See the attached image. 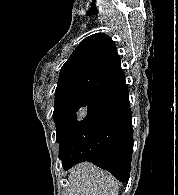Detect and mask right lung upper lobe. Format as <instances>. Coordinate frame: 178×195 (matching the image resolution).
Listing matches in <instances>:
<instances>
[{"mask_svg":"<svg viewBox=\"0 0 178 195\" xmlns=\"http://www.w3.org/2000/svg\"><path fill=\"white\" fill-rule=\"evenodd\" d=\"M112 39L97 33L85 38L60 71L55 97L74 93L98 95L125 82Z\"/></svg>","mask_w":178,"mask_h":195,"instance_id":"cb5924a9","label":"right lung upper lobe"}]
</instances>
